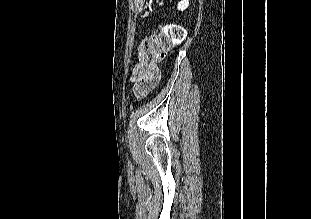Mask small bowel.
Listing matches in <instances>:
<instances>
[{"label": "small bowel", "mask_w": 311, "mask_h": 219, "mask_svg": "<svg viewBox=\"0 0 311 219\" xmlns=\"http://www.w3.org/2000/svg\"><path fill=\"white\" fill-rule=\"evenodd\" d=\"M132 82L134 83V93L138 97H143L157 86L159 82V76H152L143 71L139 72L137 67L133 71Z\"/></svg>", "instance_id": "1"}]
</instances>
